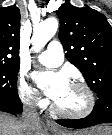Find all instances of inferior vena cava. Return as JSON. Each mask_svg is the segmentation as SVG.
<instances>
[{"instance_id": "obj_1", "label": "inferior vena cava", "mask_w": 112, "mask_h": 135, "mask_svg": "<svg viewBox=\"0 0 112 135\" xmlns=\"http://www.w3.org/2000/svg\"><path fill=\"white\" fill-rule=\"evenodd\" d=\"M22 124L27 128H34L37 124H39V116L34 104H29L24 108L22 114Z\"/></svg>"}]
</instances>
